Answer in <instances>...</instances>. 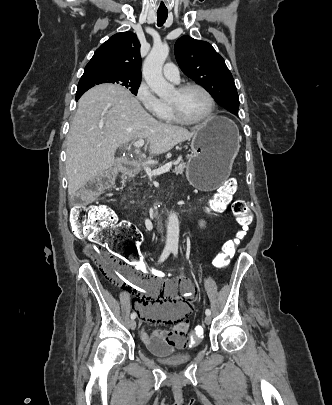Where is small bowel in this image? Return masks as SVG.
Returning a JSON list of instances; mask_svg holds the SVG:
<instances>
[{"label": "small bowel", "mask_w": 332, "mask_h": 405, "mask_svg": "<svg viewBox=\"0 0 332 405\" xmlns=\"http://www.w3.org/2000/svg\"><path fill=\"white\" fill-rule=\"evenodd\" d=\"M123 281L125 290L136 288L138 292L135 308L141 317V339L147 349H155L156 353H187L188 339L182 337H185L190 323L183 320L198 303L197 297H191V284L184 279H141L129 268L124 269ZM154 321L164 322L168 330L147 332L145 324Z\"/></svg>", "instance_id": "c3829d8e"}]
</instances>
